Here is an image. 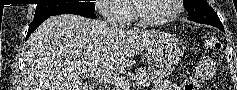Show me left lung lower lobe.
<instances>
[{
  "label": "left lung lower lobe",
  "instance_id": "0a47b994",
  "mask_svg": "<svg viewBox=\"0 0 237 90\" xmlns=\"http://www.w3.org/2000/svg\"><path fill=\"white\" fill-rule=\"evenodd\" d=\"M220 30H222L224 32V29L223 28H219Z\"/></svg>",
  "mask_w": 237,
  "mask_h": 90
}]
</instances>
